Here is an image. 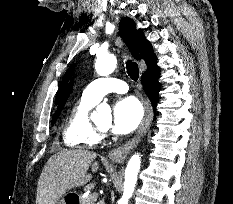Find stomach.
Wrapping results in <instances>:
<instances>
[{
  "instance_id": "obj_1",
  "label": "stomach",
  "mask_w": 233,
  "mask_h": 204,
  "mask_svg": "<svg viewBox=\"0 0 233 204\" xmlns=\"http://www.w3.org/2000/svg\"><path fill=\"white\" fill-rule=\"evenodd\" d=\"M56 204H67L66 203V196L60 199Z\"/></svg>"
}]
</instances>
